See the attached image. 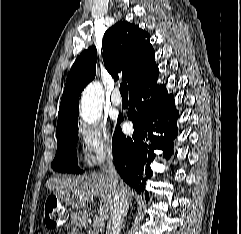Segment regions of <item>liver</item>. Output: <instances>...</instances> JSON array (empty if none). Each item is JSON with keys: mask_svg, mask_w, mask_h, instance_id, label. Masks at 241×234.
Masks as SVG:
<instances>
[{"mask_svg": "<svg viewBox=\"0 0 241 234\" xmlns=\"http://www.w3.org/2000/svg\"><path fill=\"white\" fill-rule=\"evenodd\" d=\"M46 187L52 191L57 198L72 208L83 209L84 212L88 201L99 197L100 206L98 214L104 219H108L112 211L114 185L110 176L105 172H92L88 175H80L72 178L51 177L47 180ZM125 188L129 200L135 195V192L129 187L125 186ZM84 197H88V201H85Z\"/></svg>", "mask_w": 241, "mask_h": 234, "instance_id": "6515ba94", "label": "liver"}]
</instances>
